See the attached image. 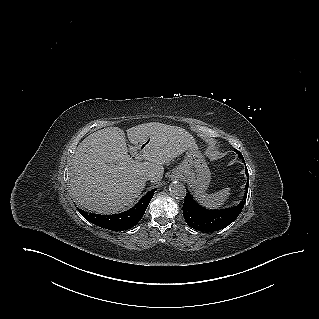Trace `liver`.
I'll return each instance as SVG.
<instances>
[{"mask_svg": "<svg viewBox=\"0 0 319 319\" xmlns=\"http://www.w3.org/2000/svg\"><path fill=\"white\" fill-rule=\"evenodd\" d=\"M127 136L140 159L128 154L125 133L108 127L87 136L77 147L71 161V194L77 204L91 212L112 214L131 206L146 186L161 181L163 165L189 149H197L194 137L178 126L159 122L129 128Z\"/></svg>", "mask_w": 319, "mask_h": 319, "instance_id": "obj_1", "label": "liver"}]
</instances>
